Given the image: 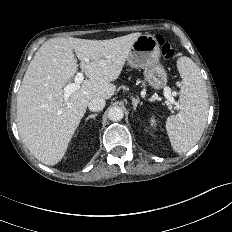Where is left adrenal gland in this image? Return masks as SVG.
Listing matches in <instances>:
<instances>
[{
	"label": "left adrenal gland",
	"mask_w": 232,
	"mask_h": 232,
	"mask_svg": "<svg viewBox=\"0 0 232 232\" xmlns=\"http://www.w3.org/2000/svg\"><path fill=\"white\" fill-rule=\"evenodd\" d=\"M132 99V105H133V109L134 111L136 110L138 104H142V102L140 103L138 99L134 98V97H131Z\"/></svg>",
	"instance_id": "obj_1"
}]
</instances>
